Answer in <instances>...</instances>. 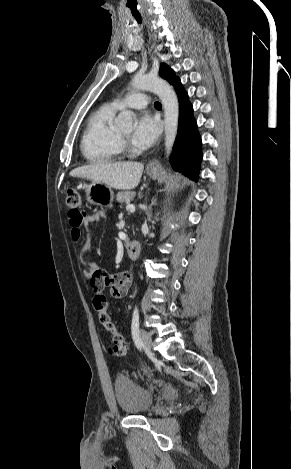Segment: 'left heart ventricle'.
Instances as JSON below:
<instances>
[{"mask_svg": "<svg viewBox=\"0 0 291 469\" xmlns=\"http://www.w3.org/2000/svg\"><path fill=\"white\" fill-rule=\"evenodd\" d=\"M121 134L124 135V136H127V135H129V132L128 131H123V132H121Z\"/></svg>", "mask_w": 291, "mask_h": 469, "instance_id": "b2bd125f", "label": "left heart ventricle"}]
</instances>
